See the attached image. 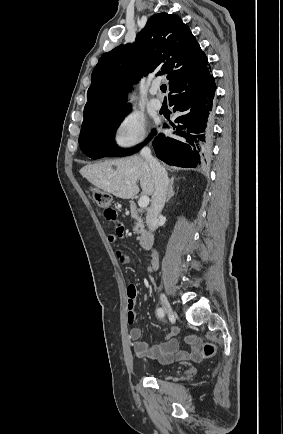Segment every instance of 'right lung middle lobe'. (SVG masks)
<instances>
[{"label":"right lung middle lobe","mask_w":283,"mask_h":434,"mask_svg":"<svg viewBox=\"0 0 283 434\" xmlns=\"http://www.w3.org/2000/svg\"><path fill=\"white\" fill-rule=\"evenodd\" d=\"M128 111H123L109 116L104 120L81 129L79 136V145L83 153L93 159L104 156H126L136 153L151 138L150 136L144 143L134 149L121 150L114 141V134L121 121L127 115ZM154 132H152V135Z\"/></svg>","instance_id":"right-lung-middle-lobe-1"}]
</instances>
